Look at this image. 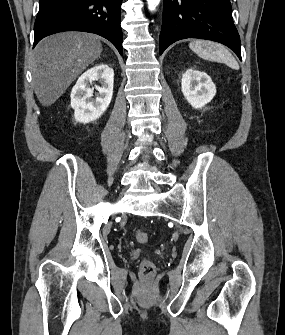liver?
<instances>
[{
  "label": "liver",
  "mask_w": 285,
  "mask_h": 335,
  "mask_svg": "<svg viewBox=\"0 0 285 335\" xmlns=\"http://www.w3.org/2000/svg\"><path fill=\"white\" fill-rule=\"evenodd\" d=\"M102 50L99 36L85 32H63L41 40L31 62L33 90L40 104H54Z\"/></svg>",
  "instance_id": "6515ba94"
}]
</instances>
